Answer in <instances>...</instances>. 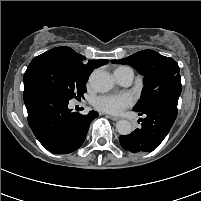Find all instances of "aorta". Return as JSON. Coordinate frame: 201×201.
Wrapping results in <instances>:
<instances>
[{"instance_id":"aorta-1","label":"aorta","mask_w":201,"mask_h":201,"mask_svg":"<svg viewBox=\"0 0 201 201\" xmlns=\"http://www.w3.org/2000/svg\"><path fill=\"white\" fill-rule=\"evenodd\" d=\"M89 83L91 87L99 93L108 92L112 89L114 84L111 75L101 69H96L92 72L89 77ZM116 129L119 134L128 135L132 132L133 128L130 121L123 119L116 123Z\"/></svg>"}]
</instances>
